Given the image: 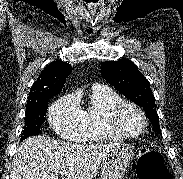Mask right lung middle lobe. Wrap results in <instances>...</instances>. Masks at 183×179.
<instances>
[{"label": "right lung middle lobe", "instance_id": "obj_1", "mask_svg": "<svg viewBox=\"0 0 183 179\" xmlns=\"http://www.w3.org/2000/svg\"><path fill=\"white\" fill-rule=\"evenodd\" d=\"M47 106L48 99L26 106L25 126L22 131L21 140L41 133L40 127L45 122L44 116Z\"/></svg>", "mask_w": 183, "mask_h": 179}]
</instances>
